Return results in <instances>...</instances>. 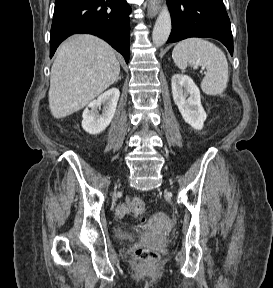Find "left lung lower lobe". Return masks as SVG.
<instances>
[{
	"instance_id": "1",
	"label": "left lung lower lobe",
	"mask_w": 273,
	"mask_h": 288,
	"mask_svg": "<svg viewBox=\"0 0 273 288\" xmlns=\"http://www.w3.org/2000/svg\"><path fill=\"white\" fill-rule=\"evenodd\" d=\"M172 31L167 43L189 37H211L222 42L233 55L230 20L223 0H167Z\"/></svg>"
}]
</instances>
